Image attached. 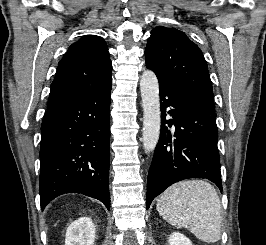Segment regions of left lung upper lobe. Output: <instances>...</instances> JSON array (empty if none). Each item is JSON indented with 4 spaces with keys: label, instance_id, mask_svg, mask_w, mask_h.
Masks as SVG:
<instances>
[{
    "label": "left lung upper lobe",
    "instance_id": "1",
    "mask_svg": "<svg viewBox=\"0 0 266 245\" xmlns=\"http://www.w3.org/2000/svg\"><path fill=\"white\" fill-rule=\"evenodd\" d=\"M146 66L157 78L214 109L207 63L201 50L182 31L159 26L145 49Z\"/></svg>",
    "mask_w": 266,
    "mask_h": 245
}]
</instances>
